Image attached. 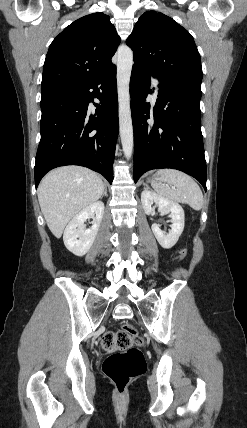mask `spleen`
Masks as SVG:
<instances>
[{
  "mask_svg": "<svg viewBox=\"0 0 247 428\" xmlns=\"http://www.w3.org/2000/svg\"><path fill=\"white\" fill-rule=\"evenodd\" d=\"M152 186L161 196L176 202L186 203L194 210H200L203 207V194L200 187L189 175L181 171L175 169L159 170L152 180Z\"/></svg>",
  "mask_w": 247,
  "mask_h": 428,
  "instance_id": "3e777b00",
  "label": "spleen"
}]
</instances>
